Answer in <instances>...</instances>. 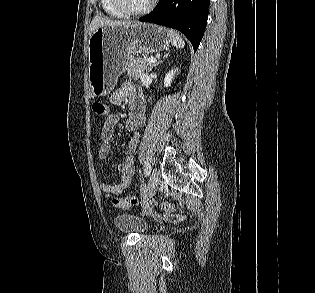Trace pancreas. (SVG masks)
I'll list each match as a JSON object with an SVG mask.
<instances>
[{
  "instance_id": "cf45deb5",
  "label": "pancreas",
  "mask_w": 315,
  "mask_h": 293,
  "mask_svg": "<svg viewBox=\"0 0 315 293\" xmlns=\"http://www.w3.org/2000/svg\"><path fill=\"white\" fill-rule=\"evenodd\" d=\"M149 63L146 59L128 57L126 62L127 76L130 79H139L144 71L148 70Z\"/></svg>"
}]
</instances>
